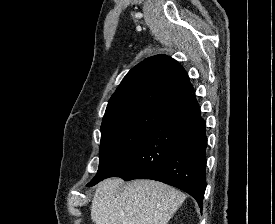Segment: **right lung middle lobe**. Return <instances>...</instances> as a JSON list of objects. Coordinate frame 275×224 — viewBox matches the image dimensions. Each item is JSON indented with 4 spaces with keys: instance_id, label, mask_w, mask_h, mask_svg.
Here are the masks:
<instances>
[{
    "instance_id": "1",
    "label": "right lung middle lobe",
    "mask_w": 275,
    "mask_h": 224,
    "mask_svg": "<svg viewBox=\"0 0 275 224\" xmlns=\"http://www.w3.org/2000/svg\"><path fill=\"white\" fill-rule=\"evenodd\" d=\"M165 112L159 108H143L102 123L99 168L87 186L108 178L143 141Z\"/></svg>"
}]
</instances>
